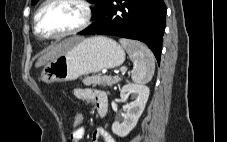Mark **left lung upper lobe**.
Returning a JSON list of instances; mask_svg holds the SVG:
<instances>
[{
    "instance_id": "obj_1",
    "label": "left lung upper lobe",
    "mask_w": 227,
    "mask_h": 142,
    "mask_svg": "<svg viewBox=\"0 0 227 142\" xmlns=\"http://www.w3.org/2000/svg\"><path fill=\"white\" fill-rule=\"evenodd\" d=\"M38 0H32L31 5L35 4ZM89 2H92L96 5V9H92V16L96 18L100 11L103 9V7L106 5L108 0H88Z\"/></svg>"
}]
</instances>
